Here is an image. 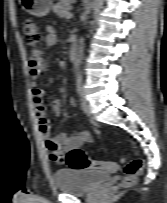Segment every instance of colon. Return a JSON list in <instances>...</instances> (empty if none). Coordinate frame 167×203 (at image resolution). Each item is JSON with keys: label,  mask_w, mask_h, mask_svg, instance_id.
Masks as SVG:
<instances>
[{"label": "colon", "mask_w": 167, "mask_h": 203, "mask_svg": "<svg viewBox=\"0 0 167 203\" xmlns=\"http://www.w3.org/2000/svg\"><path fill=\"white\" fill-rule=\"evenodd\" d=\"M23 32L25 38V45L31 49L36 50L37 44L40 41V32L38 25L33 20H26L23 24ZM33 58L37 57L35 54ZM66 162L70 168L75 170L84 169H96L101 170L106 168V163L104 162H94L91 161L84 151L80 148L71 149L67 156ZM143 170V160L134 159L124 166V177L121 183L117 187H113L110 191H115L118 188H126L134 184L136 178L141 174Z\"/></svg>", "instance_id": "obj_1"}]
</instances>
